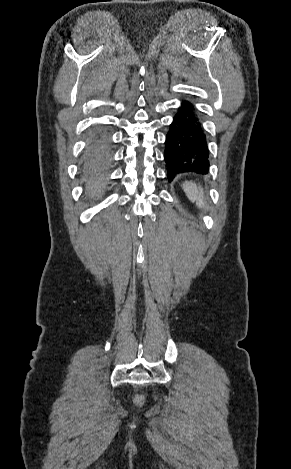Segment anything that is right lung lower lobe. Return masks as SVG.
Instances as JSON below:
<instances>
[{
    "instance_id": "right-lung-lower-lobe-1",
    "label": "right lung lower lobe",
    "mask_w": 291,
    "mask_h": 469,
    "mask_svg": "<svg viewBox=\"0 0 291 469\" xmlns=\"http://www.w3.org/2000/svg\"><path fill=\"white\" fill-rule=\"evenodd\" d=\"M111 159L110 141L106 133L92 129L87 136L83 166L91 170L106 168Z\"/></svg>"
}]
</instances>
